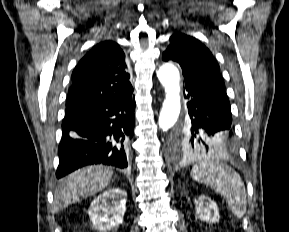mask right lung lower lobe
<instances>
[{"mask_svg": "<svg viewBox=\"0 0 289 232\" xmlns=\"http://www.w3.org/2000/svg\"><path fill=\"white\" fill-rule=\"evenodd\" d=\"M132 93L66 111L57 178L90 164L128 166V142L135 126Z\"/></svg>", "mask_w": 289, "mask_h": 232, "instance_id": "98d812e1", "label": "right lung lower lobe"}]
</instances>
